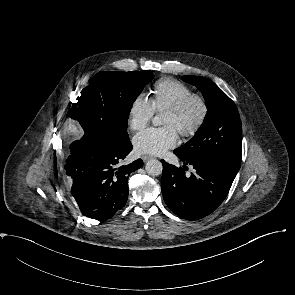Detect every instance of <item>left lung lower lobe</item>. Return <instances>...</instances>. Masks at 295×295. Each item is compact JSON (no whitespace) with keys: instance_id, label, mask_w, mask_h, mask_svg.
Segmentation results:
<instances>
[{"instance_id":"0a47b994","label":"left lung lower lobe","mask_w":295,"mask_h":295,"mask_svg":"<svg viewBox=\"0 0 295 295\" xmlns=\"http://www.w3.org/2000/svg\"><path fill=\"white\" fill-rule=\"evenodd\" d=\"M195 172L185 176L186 166L177 168L162 160L161 189L165 203L179 217L187 220L201 219L212 213L226 198L236 174L209 160H186Z\"/></svg>"}]
</instances>
